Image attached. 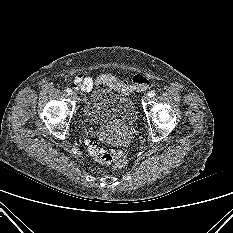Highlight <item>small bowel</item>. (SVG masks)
Masks as SVG:
<instances>
[{"label": "small bowel", "instance_id": "1", "mask_svg": "<svg viewBox=\"0 0 233 233\" xmlns=\"http://www.w3.org/2000/svg\"><path fill=\"white\" fill-rule=\"evenodd\" d=\"M71 82L75 89L85 95L93 87V79L83 74H77L71 79Z\"/></svg>", "mask_w": 233, "mask_h": 233}]
</instances>
